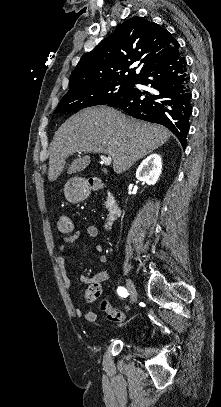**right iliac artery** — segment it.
I'll return each mask as SVG.
<instances>
[{"instance_id": "obj_1", "label": "right iliac artery", "mask_w": 221, "mask_h": 407, "mask_svg": "<svg viewBox=\"0 0 221 407\" xmlns=\"http://www.w3.org/2000/svg\"><path fill=\"white\" fill-rule=\"evenodd\" d=\"M117 292L121 297H127L129 295L127 290L123 287H118Z\"/></svg>"}]
</instances>
